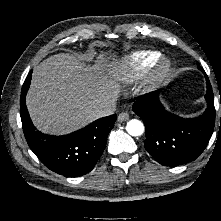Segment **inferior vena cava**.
I'll return each instance as SVG.
<instances>
[{
    "mask_svg": "<svg viewBox=\"0 0 221 221\" xmlns=\"http://www.w3.org/2000/svg\"><path fill=\"white\" fill-rule=\"evenodd\" d=\"M116 104L114 101H109L108 103L104 105L98 106L93 112L92 117L94 119L102 118L105 116L112 115L114 113Z\"/></svg>",
    "mask_w": 221,
    "mask_h": 221,
    "instance_id": "602c4592",
    "label": "inferior vena cava"
}]
</instances>
